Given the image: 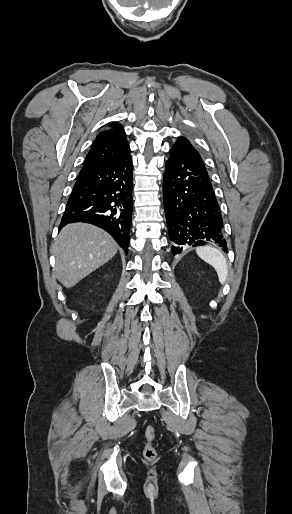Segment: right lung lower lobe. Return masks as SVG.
Returning <instances> with one entry per match:
<instances>
[{"mask_svg": "<svg viewBox=\"0 0 292 514\" xmlns=\"http://www.w3.org/2000/svg\"><path fill=\"white\" fill-rule=\"evenodd\" d=\"M130 153L100 166H83L68 199L59 230L68 223H90L106 230L128 251L132 220Z\"/></svg>", "mask_w": 292, "mask_h": 514, "instance_id": "98d812e1", "label": "right lung lower lobe"}]
</instances>
